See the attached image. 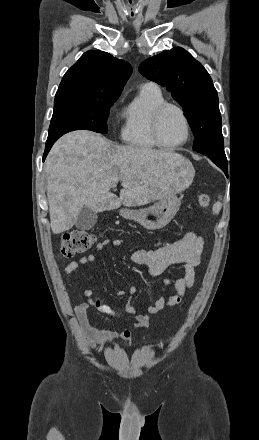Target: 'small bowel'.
I'll return each instance as SVG.
<instances>
[{
  "label": "small bowel",
  "instance_id": "1",
  "mask_svg": "<svg viewBox=\"0 0 259 440\" xmlns=\"http://www.w3.org/2000/svg\"><path fill=\"white\" fill-rule=\"evenodd\" d=\"M122 243V239H115L112 241L105 239L97 243L96 249L101 250L109 244L119 246ZM203 256V238L193 231H187L179 240L156 250L139 249L132 253V261L135 264L144 267L151 277L160 276L166 269L174 265L182 266V273L177 278L173 279L172 277H167L164 279L163 289L173 284L176 290V294L168 300H166L163 295H159L156 301L145 309L136 307L131 300L127 301L124 313L135 317L136 328L147 327L151 322L150 315L159 313L166 307H172L180 303L186 292L194 285L196 276L195 268L201 264ZM95 260V255L89 254L81 257L78 261H69L64 267L63 272L68 275L78 270L80 266L91 264L95 262ZM135 293L136 288L129 287L126 290L118 291L117 295L128 296L131 298ZM84 294L88 299V303L77 306L75 311L88 348H95V340L114 342L117 340L131 341L133 339V332L131 330H125L119 333L98 330L90 326L87 319L90 307L100 313L108 315H116V313L108 304L100 299H94L93 292L90 289H85Z\"/></svg>",
  "mask_w": 259,
  "mask_h": 440
}]
</instances>
